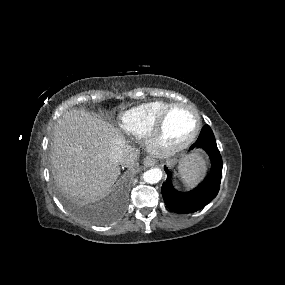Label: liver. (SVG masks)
Instances as JSON below:
<instances>
[{
	"label": "liver",
	"instance_id": "liver-1",
	"mask_svg": "<svg viewBox=\"0 0 285 285\" xmlns=\"http://www.w3.org/2000/svg\"><path fill=\"white\" fill-rule=\"evenodd\" d=\"M122 151V166H134L138 153L120 131L83 110H70L54 126L51 162L59 186L85 202L105 197L120 175L112 152Z\"/></svg>",
	"mask_w": 285,
	"mask_h": 285
}]
</instances>
